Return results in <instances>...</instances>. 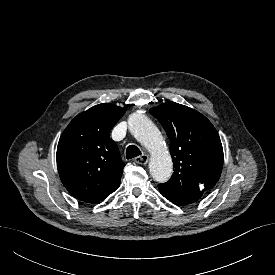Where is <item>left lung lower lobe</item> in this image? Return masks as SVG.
I'll return each mask as SVG.
<instances>
[{"label":"left lung lower lobe","mask_w":275,"mask_h":275,"mask_svg":"<svg viewBox=\"0 0 275 275\" xmlns=\"http://www.w3.org/2000/svg\"><path fill=\"white\" fill-rule=\"evenodd\" d=\"M197 200H191V201H184V202H173L174 204H177V205H186V204H190V203H193V202H196ZM172 202V201H171Z\"/></svg>","instance_id":"obj_1"}]
</instances>
